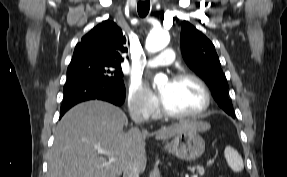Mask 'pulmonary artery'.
<instances>
[{
    "label": "pulmonary artery",
    "instance_id": "obj_1",
    "mask_svg": "<svg viewBox=\"0 0 287 177\" xmlns=\"http://www.w3.org/2000/svg\"><path fill=\"white\" fill-rule=\"evenodd\" d=\"M174 60V50L166 48L161 53L147 61L149 67H162L171 64Z\"/></svg>",
    "mask_w": 287,
    "mask_h": 177
}]
</instances>
